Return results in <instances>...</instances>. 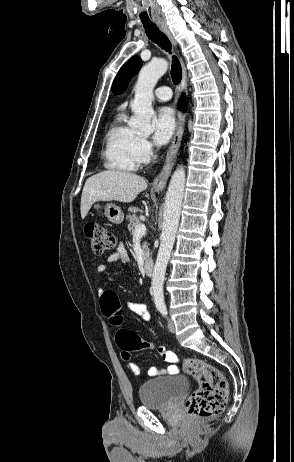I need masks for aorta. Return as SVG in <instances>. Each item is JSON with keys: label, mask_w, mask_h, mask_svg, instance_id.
Wrapping results in <instances>:
<instances>
[{"label": "aorta", "mask_w": 294, "mask_h": 462, "mask_svg": "<svg viewBox=\"0 0 294 462\" xmlns=\"http://www.w3.org/2000/svg\"><path fill=\"white\" fill-rule=\"evenodd\" d=\"M167 69L168 62L165 59H155L140 70L134 87L135 98L132 104L134 115L129 125L143 134L149 135L153 132L151 125V118L154 115L152 108L153 89ZM185 179V169L183 166H179L171 177L166 193L160 247L151 282L154 303L157 308L165 306L163 284L179 225Z\"/></svg>", "instance_id": "1"}]
</instances>
